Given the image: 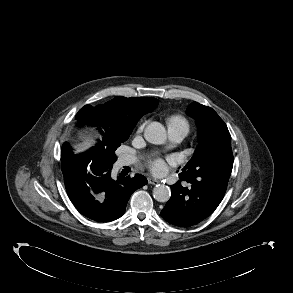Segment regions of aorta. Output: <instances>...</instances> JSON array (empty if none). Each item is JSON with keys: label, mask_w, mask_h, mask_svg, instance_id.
Wrapping results in <instances>:
<instances>
[{"label": "aorta", "mask_w": 293, "mask_h": 293, "mask_svg": "<svg viewBox=\"0 0 293 293\" xmlns=\"http://www.w3.org/2000/svg\"><path fill=\"white\" fill-rule=\"evenodd\" d=\"M144 137L152 144H163L167 138L165 127L159 122H151L145 128ZM170 196V188L166 185H157L153 189V197L158 202H167Z\"/></svg>", "instance_id": "aorta-1"}]
</instances>
